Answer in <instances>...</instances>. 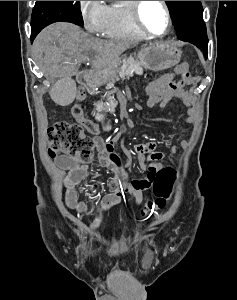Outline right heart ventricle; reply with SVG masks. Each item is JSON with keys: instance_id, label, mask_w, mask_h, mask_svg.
<instances>
[{"instance_id": "right-heart-ventricle-1", "label": "right heart ventricle", "mask_w": 237, "mask_h": 300, "mask_svg": "<svg viewBox=\"0 0 237 300\" xmlns=\"http://www.w3.org/2000/svg\"><path fill=\"white\" fill-rule=\"evenodd\" d=\"M132 1H115L108 7L107 25L104 33L109 36L142 37L131 11Z\"/></svg>"}]
</instances>
